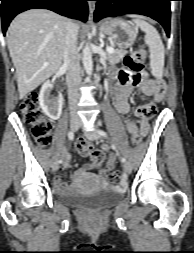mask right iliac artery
I'll return each mask as SVG.
<instances>
[{
  "mask_svg": "<svg viewBox=\"0 0 194 253\" xmlns=\"http://www.w3.org/2000/svg\"><path fill=\"white\" fill-rule=\"evenodd\" d=\"M68 138H69V140H73L74 139V133L73 132H69L68 133ZM58 163H62V160L61 159L58 160Z\"/></svg>",
  "mask_w": 194,
  "mask_h": 253,
  "instance_id": "82829eb1",
  "label": "right iliac artery"
}]
</instances>
